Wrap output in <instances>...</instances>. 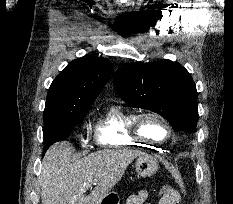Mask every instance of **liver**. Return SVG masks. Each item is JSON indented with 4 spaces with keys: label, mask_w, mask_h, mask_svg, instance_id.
<instances>
[{
    "label": "liver",
    "mask_w": 233,
    "mask_h": 204,
    "mask_svg": "<svg viewBox=\"0 0 233 204\" xmlns=\"http://www.w3.org/2000/svg\"><path fill=\"white\" fill-rule=\"evenodd\" d=\"M73 147L68 141L52 145L42 161V204H100L120 181L128 165L143 152L106 149L71 162ZM95 184L89 195V184Z\"/></svg>",
    "instance_id": "1"
}]
</instances>
